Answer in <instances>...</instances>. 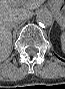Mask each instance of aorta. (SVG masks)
Segmentation results:
<instances>
[{
  "instance_id": "762f6f07",
  "label": "aorta",
  "mask_w": 65,
  "mask_h": 89,
  "mask_svg": "<svg viewBox=\"0 0 65 89\" xmlns=\"http://www.w3.org/2000/svg\"><path fill=\"white\" fill-rule=\"evenodd\" d=\"M36 21L41 27L47 28L53 25L54 18L48 9H41L37 13Z\"/></svg>"
}]
</instances>
